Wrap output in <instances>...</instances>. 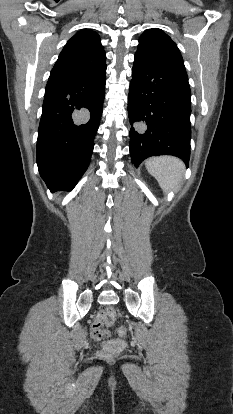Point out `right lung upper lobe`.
I'll list each match as a JSON object with an SVG mask.
<instances>
[{
  "label": "right lung upper lobe",
  "instance_id": "obj_1",
  "mask_svg": "<svg viewBox=\"0 0 233 414\" xmlns=\"http://www.w3.org/2000/svg\"><path fill=\"white\" fill-rule=\"evenodd\" d=\"M106 66V55L99 35L81 30L69 39L51 74L59 77L80 76L97 72Z\"/></svg>",
  "mask_w": 233,
  "mask_h": 414
}]
</instances>
